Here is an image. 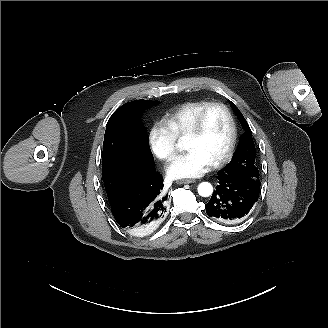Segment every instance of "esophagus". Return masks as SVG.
<instances>
[{
	"mask_svg": "<svg viewBox=\"0 0 328 328\" xmlns=\"http://www.w3.org/2000/svg\"><path fill=\"white\" fill-rule=\"evenodd\" d=\"M196 180L192 178H184V179H178L176 181L177 184H187V183H195Z\"/></svg>",
	"mask_w": 328,
	"mask_h": 328,
	"instance_id": "1",
	"label": "esophagus"
}]
</instances>
